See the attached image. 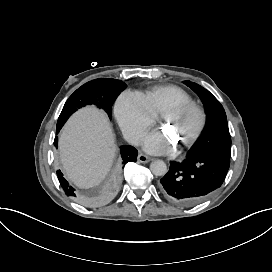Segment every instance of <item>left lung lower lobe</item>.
Returning a JSON list of instances; mask_svg holds the SVG:
<instances>
[{
  "label": "left lung lower lobe",
  "instance_id": "left-lung-lower-lobe-1",
  "mask_svg": "<svg viewBox=\"0 0 272 272\" xmlns=\"http://www.w3.org/2000/svg\"><path fill=\"white\" fill-rule=\"evenodd\" d=\"M170 165L159 189L169 201L186 207L200 202L222 185L230 158L219 154L189 155L184 162Z\"/></svg>",
  "mask_w": 272,
  "mask_h": 272
}]
</instances>
